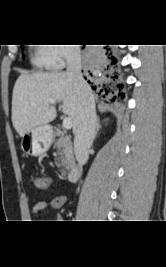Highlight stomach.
Here are the masks:
<instances>
[{
  "instance_id": "obj_1",
  "label": "stomach",
  "mask_w": 166,
  "mask_h": 267,
  "mask_svg": "<svg viewBox=\"0 0 166 267\" xmlns=\"http://www.w3.org/2000/svg\"><path fill=\"white\" fill-rule=\"evenodd\" d=\"M53 138L54 134L51 126L42 125L35 127L29 133L22 136L21 149L27 155L40 156L48 151Z\"/></svg>"
}]
</instances>
